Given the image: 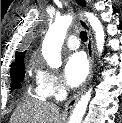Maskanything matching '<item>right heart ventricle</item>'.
Here are the masks:
<instances>
[{"mask_svg":"<svg viewBox=\"0 0 122 123\" xmlns=\"http://www.w3.org/2000/svg\"><path fill=\"white\" fill-rule=\"evenodd\" d=\"M35 94L40 97V98H46L44 95H42L38 90L37 88H35Z\"/></svg>","mask_w":122,"mask_h":123,"instance_id":"obj_1","label":"right heart ventricle"}]
</instances>
